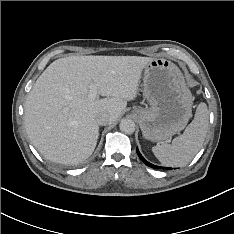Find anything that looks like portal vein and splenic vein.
Listing matches in <instances>:
<instances>
[{
	"instance_id": "portal-vein-and-splenic-vein-1",
	"label": "portal vein and splenic vein",
	"mask_w": 234,
	"mask_h": 234,
	"mask_svg": "<svg viewBox=\"0 0 234 234\" xmlns=\"http://www.w3.org/2000/svg\"><path fill=\"white\" fill-rule=\"evenodd\" d=\"M97 87H96V85H94V84H91L90 86H89V95H88V97L90 98V99H92V100H94V99H96V97H97Z\"/></svg>"
}]
</instances>
